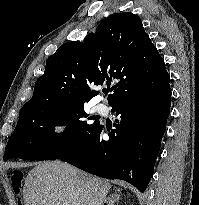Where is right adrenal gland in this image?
<instances>
[{
	"instance_id": "obj_1",
	"label": "right adrenal gland",
	"mask_w": 199,
	"mask_h": 205,
	"mask_svg": "<svg viewBox=\"0 0 199 205\" xmlns=\"http://www.w3.org/2000/svg\"><path fill=\"white\" fill-rule=\"evenodd\" d=\"M114 202H115V200H114L113 196H111V197H108L106 203H107V205H114Z\"/></svg>"
}]
</instances>
